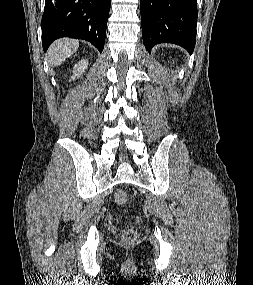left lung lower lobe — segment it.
<instances>
[{"mask_svg":"<svg viewBox=\"0 0 253 285\" xmlns=\"http://www.w3.org/2000/svg\"><path fill=\"white\" fill-rule=\"evenodd\" d=\"M143 42L177 44L192 53L196 43V0H140Z\"/></svg>","mask_w":253,"mask_h":285,"instance_id":"1","label":"left lung lower lobe"}]
</instances>
